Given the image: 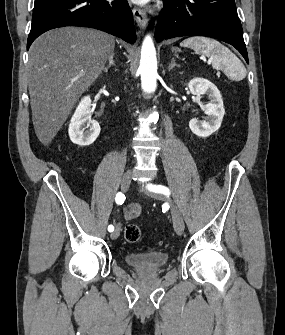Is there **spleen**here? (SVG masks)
<instances>
[{
    "label": "spleen",
    "mask_w": 285,
    "mask_h": 335,
    "mask_svg": "<svg viewBox=\"0 0 285 335\" xmlns=\"http://www.w3.org/2000/svg\"><path fill=\"white\" fill-rule=\"evenodd\" d=\"M181 48H192L194 52L198 54H203L209 58L213 68L216 66H224L226 70H237L241 78H245L246 70L239 62L238 58L227 50L225 46L216 42V40H211V38H202V36H194V38H187L183 40L180 44Z\"/></svg>",
    "instance_id": "obj_1"
}]
</instances>
